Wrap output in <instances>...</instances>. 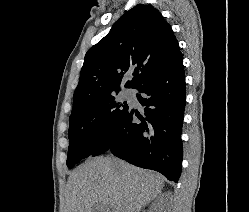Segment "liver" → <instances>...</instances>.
<instances>
[{"label":"liver","instance_id":"obj_1","mask_svg":"<svg viewBox=\"0 0 249 212\" xmlns=\"http://www.w3.org/2000/svg\"><path fill=\"white\" fill-rule=\"evenodd\" d=\"M164 176L135 168L110 156L89 158L67 182V212H141L161 196Z\"/></svg>","mask_w":249,"mask_h":212}]
</instances>
